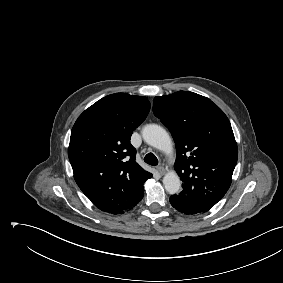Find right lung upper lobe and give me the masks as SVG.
Segmentation results:
<instances>
[{
	"label": "right lung upper lobe",
	"instance_id": "cb5924a9",
	"mask_svg": "<svg viewBox=\"0 0 283 283\" xmlns=\"http://www.w3.org/2000/svg\"><path fill=\"white\" fill-rule=\"evenodd\" d=\"M149 110L145 97L111 94L86 109L72 128L68 156L74 179L102 211L123 213L144 196L143 183L152 174L136 163L130 138Z\"/></svg>",
	"mask_w": 283,
	"mask_h": 283
}]
</instances>
